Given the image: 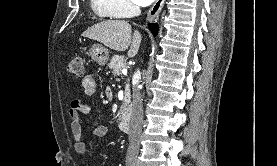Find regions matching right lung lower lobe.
<instances>
[{"label":"right lung lower lobe","instance_id":"98d812e1","mask_svg":"<svg viewBox=\"0 0 277 166\" xmlns=\"http://www.w3.org/2000/svg\"><path fill=\"white\" fill-rule=\"evenodd\" d=\"M148 26H149V29L151 30V32L153 33V35L156 36L158 33V25L157 24H154V25L149 24Z\"/></svg>","mask_w":277,"mask_h":166}]
</instances>
